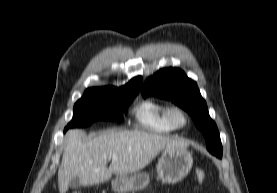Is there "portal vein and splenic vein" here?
Segmentation results:
<instances>
[{
  "mask_svg": "<svg viewBox=\"0 0 277 193\" xmlns=\"http://www.w3.org/2000/svg\"><path fill=\"white\" fill-rule=\"evenodd\" d=\"M110 158H112V159H116V158H117V156H116V154H112V155L110 156Z\"/></svg>",
  "mask_w": 277,
  "mask_h": 193,
  "instance_id": "portal-vein-and-splenic-vein-1",
  "label": "portal vein and splenic vein"
}]
</instances>
